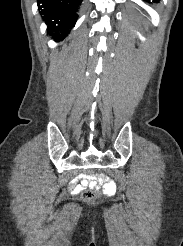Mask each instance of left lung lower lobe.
<instances>
[{
	"mask_svg": "<svg viewBox=\"0 0 183 246\" xmlns=\"http://www.w3.org/2000/svg\"><path fill=\"white\" fill-rule=\"evenodd\" d=\"M146 1L150 2L149 0H146ZM152 1H154V2H158L159 0H152Z\"/></svg>",
	"mask_w": 183,
	"mask_h": 246,
	"instance_id": "1",
	"label": "left lung lower lobe"
}]
</instances>
